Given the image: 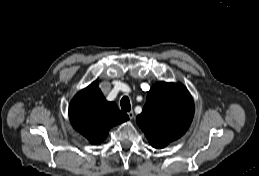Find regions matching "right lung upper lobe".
Returning a JSON list of instances; mask_svg holds the SVG:
<instances>
[{
    "instance_id": "right-lung-upper-lobe-1",
    "label": "right lung upper lobe",
    "mask_w": 259,
    "mask_h": 176,
    "mask_svg": "<svg viewBox=\"0 0 259 176\" xmlns=\"http://www.w3.org/2000/svg\"><path fill=\"white\" fill-rule=\"evenodd\" d=\"M73 127L92 144L101 143L109 130L129 119L114 102H108L95 81L78 92L69 106Z\"/></svg>"
}]
</instances>
